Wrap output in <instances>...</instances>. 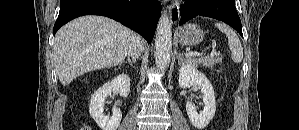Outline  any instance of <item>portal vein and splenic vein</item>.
<instances>
[{
    "label": "portal vein and splenic vein",
    "instance_id": "18ae733b",
    "mask_svg": "<svg viewBox=\"0 0 299 130\" xmlns=\"http://www.w3.org/2000/svg\"><path fill=\"white\" fill-rule=\"evenodd\" d=\"M216 54V50H212V52L210 53L211 56H214ZM202 53H199V52H188V53H185V56L186 57H194V56H201Z\"/></svg>",
    "mask_w": 299,
    "mask_h": 130
}]
</instances>
